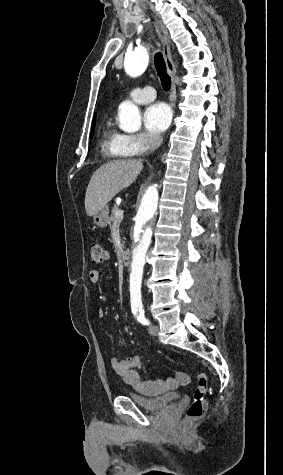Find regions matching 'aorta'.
<instances>
[{
  "instance_id": "aorta-1",
  "label": "aorta",
  "mask_w": 283,
  "mask_h": 475,
  "mask_svg": "<svg viewBox=\"0 0 283 475\" xmlns=\"http://www.w3.org/2000/svg\"><path fill=\"white\" fill-rule=\"evenodd\" d=\"M149 53L147 48L139 47L127 53L124 59V68L131 77L143 74L148 66ZM118 117L120 128L125 132H136L141 126L139 109L130 102H123L119 106ZM160 186L153 184L139 193L136 210L131 228L132 249L129 264L130 301L134 307H141V286L146 255L151 244L153 234L160 220L163 194Z\"/></svg>"
}]
</instances>
